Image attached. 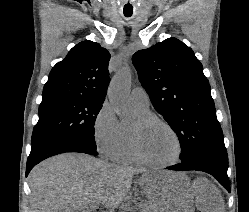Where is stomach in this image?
<instances>
[{"label":"stomach","mask_w":249,"mask_h":212,"mask_svg":"<svg viewBox=\"0 0 249 212\" xmlns=\"http://www.w3.org/2000/svg\"><path fill=\"white\" fill-rule=\"evenodd\" d=\"M190 183L185 170H150V175H141L146 198H152L146 204H156V212H194Z\"/></svg>","instance_id":"0dacf381"}]
</instances>
